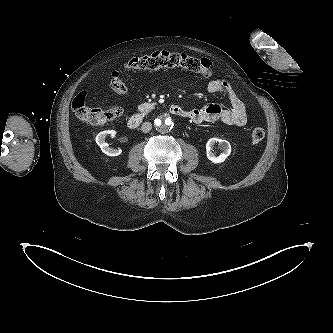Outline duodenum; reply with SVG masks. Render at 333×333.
<instances>
[{
  "label": "duodenum",
  "mask_w": 333,
  "mask_h": 333,
  "mask_svg": "<svg viewBox=\"0 0 333 333\" xmlns=\"http://www.w3.org/2000/svg\"><path fill=\"white\" fill-rule=\"evenodd\" d=\"M170 112L173 115L180 116V117H185L186 111L179 105L174 104L170 107ZM143 121V117L140 114H133L132 116L129 117L127 121V126L130 129H136L138 128Z\"/></svg>",
  "instance_id": "duodenum-1"
}]
</instances>
